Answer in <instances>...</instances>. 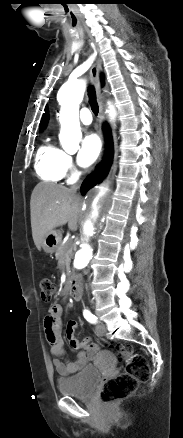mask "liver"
Returning a JSON list of instances; mask_svg holds the SVG:
<instances>
[{
	"label": "liver",
	"mask_w": 183,
	"mask_h": 438,
	"mask_svg": "<svg viewBox=\"0 0 183 438\" xmlns=\"http://www.w3.org/2000/svg\"><path fill=\"white\" fill-rule=\"evenodd\" d=\"M30 208L32 236L40 249L47 234L56 227L68 223L71 230L77 229L81 199L72 189L41 182L32 192Z\"/></svg>",
	"instance_id": "6515ba94"
}]
</instances>
